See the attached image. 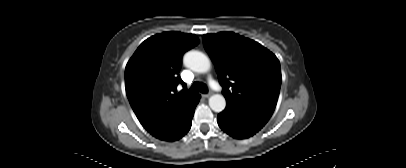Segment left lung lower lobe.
I'll use <instances>...</instances> for the list:
<instances>
[{
    "instance_id": "obj_1",
    "label": "left lung lower lobe",
    "mask_w": 406,
    "mask_h": 168,
    "mask_svg": "<svg viewBox=\"0 0 406 168\" xmlns=\"http://www.w3.org/2000/svg\"><path fill=\"white\" fill-rule=\"evenodd\" d=\"M270 117V115L227 102L225 110L218 115L217 122L220 128L230 136L244 139L256 134Z\"/></svg>"
}]
</instances>
